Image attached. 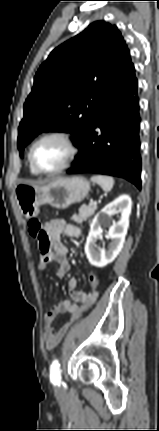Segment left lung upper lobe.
I'll use <instances>...</instances> for the list:
<instances>
[{"mask_svg": "<svg viewBox=\"0 0 159 431\" xmlns=\"http://www.w3.org/2000/svg\"><path fill=\"white\" fill-rule=\"evenodd\" d=\"M131 65L121 33L104 21L90 24L55 48L38 69L24 104L20 154L44 131L71 133L78 146L99 107Z\"/></svg>", "mask_w": 159, "mask_h": 431, "instance_id": "1", "label": "left lung upper lobe"}]
</instances>
